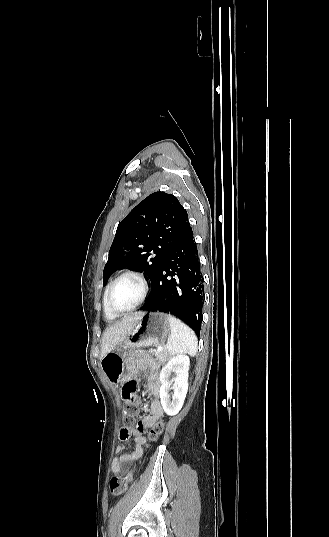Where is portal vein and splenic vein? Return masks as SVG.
Instances as JSON below:
<instances>
[{"label": "portal vein and splenic vein", "instance_id": "portal-vein-and-splenic-vein-1", "mask_svg": "<svg viewBox=\"0 0 329 537\" xmlns=\"http://www.w3.org/2000/svg\"><path fill=\"white\" fill-rule=\"evenodd\" d=\"M162 349H163L162 347H158L157 351H162Z\"/></svg>", "mask_w": 329, "mask_h": 537}]
</instances>
